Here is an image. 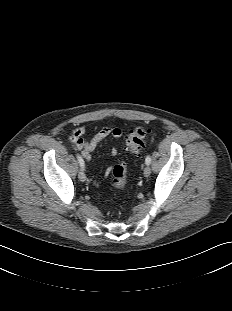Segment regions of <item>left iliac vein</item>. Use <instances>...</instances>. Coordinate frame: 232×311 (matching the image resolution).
<instances>
[{
  "label": "left iliac vein",
  "mask_w": 232,
  "mask_h": 311,
  "mask_svg": "<svg viewBox=\"0 0 232 311\" xmlns=\"http://www.w3.org/2000/svg\"><path fill=\"white\" fill-rule=\"evenodd\" d=\"M144 176L145 177H148L150 174H151V168L147 165L145 168H144Z\"/></svg>",
  "instance_id": "left-iliac-vein-1"
}]
</instances>
